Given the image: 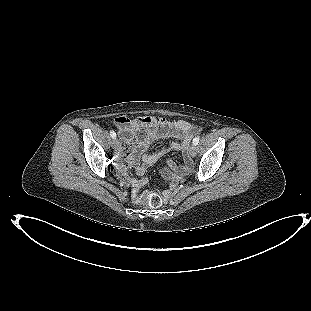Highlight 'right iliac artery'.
I'll use <instances>...</instances> for the list:
<instances>
[{
	"label": "right iliac artery",
	"mask_w": 311,
	"mask_h": 311,
	"mask_svg": "<svg viewBox=\"0 0 311 311\" xmlns=\"http://www.w3.org/2000/svg\"><path fill=\"white\" fill-rule=\"evenodd\" d=\"M110 136L114 139L116 138V133L114 131H110Z\"/></svg>",
	"instance_id": "82829eb1"
}]
</instances>
